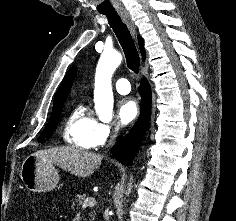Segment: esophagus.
Listing matches in <instances>:
<instances>
[{
    "label": "esophagus",
    "mask_w": 236,
    "mask_h": 221,
    "mask_svg": "<svg viewBox=\"0 0 236 221\" xmlns=\"http://www.w3.org/2000/svg\"><path fill=\"white\" fill-rule=\"evenodd\" d=\"M118 13L122 17L124 22L128 25V27L130 28L132 34L134 36H136V29H135L134 23H133V21L131 19L130 14L128 13V11H126L124 9H121V10H118Z\"/></svg>",
    "instance_id": "1"
}]
</instances>
